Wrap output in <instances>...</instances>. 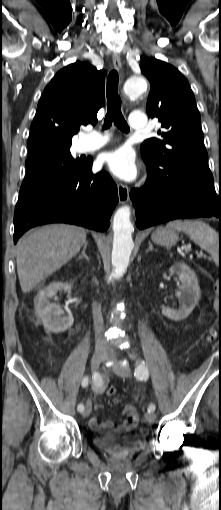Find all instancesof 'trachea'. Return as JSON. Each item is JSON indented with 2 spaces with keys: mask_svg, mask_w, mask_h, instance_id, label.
Returning <instances> with one entry per match:
<instances>
[{
  "mask_svg": "<svg viewBox=\"0 0 221 510\" xmlns=\"http://www.w3.org/2000/svg\"><path fill=\"white\" fill-rule=\"evenodd\" d=\"M107 113L104 119V129L110 128L112 122L124 132H129V127L121 112V99L118 94V73L113 70L107 77Z\"/></svg>",
  "mask_w": 221,
  "mask_h": 510,
  "instance_id": "obj_1",
  "label": "trachea"
}]
</instances>
